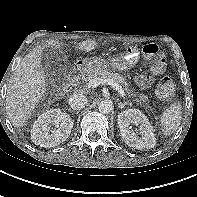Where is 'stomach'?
<instances>
[{
    "label": "stomach",
    "instance_id": "obj_1",
    "mask_svg": "<svg viewBox=\"0 0 197 197\" xmlns=\"http://www.w3.org/2000/svg\"><path fill=\"white\" fill-rule=\"evenodd\" d=\"M139 59V52L135 48H129L119 57L112 58L109 61L98 57L86 58L79 63V67L88 72L106 69L127 71L133 68Z\"/></svg>",
    "mask_w": 197,
    "mask_h": 197
}]
</instances>
